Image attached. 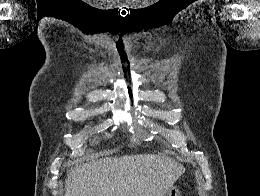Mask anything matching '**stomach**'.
Returning <instances> with one entry per match:
<instances>
[{"label":"stomach","instance_id":"obj_1","mask_svg":"<svg viewBox=\"0 0 260 196\" xmlns=\"http://www.w3.org/2000/svg\"><path fill=\"white\" fill-rule=\"evenodd\" d=\"M161 196H183V191H181V187H170V191L161 193Z\"/></svg>","mask_w":260,"mask_h":196}]
</instances>
